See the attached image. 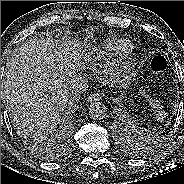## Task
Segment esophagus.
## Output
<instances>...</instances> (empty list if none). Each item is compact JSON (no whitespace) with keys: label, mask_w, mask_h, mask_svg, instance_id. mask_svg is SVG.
Here are the masks:
<instances>
[{"label":"esophagus","mask_w":184,"mask_h":184,"mask_svg":"<svg viewBox=\"0 0 184 184\" xmlns=\"http://www.w3.org/2000/svg\"><path fill=\"white\" fill-rule=\"evenodd\" d=\"M101 99V96L100 94L98 93H95V94H92L88 97V101L89 102H93V101H99Z\"/></svg>","instance_id":"1"}]
</instances>
